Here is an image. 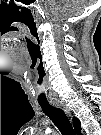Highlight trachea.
Returning <instances> with one entry per match:
<instances>
[{"instance_id": "1", "label": "trachea", "mask_w": 101, "mask_h": 135, "mask_svg": "<svg viewBox=\"0 0 101 135\" xmlns=\"http://www.w3.org/2000/svg\"><path fill=\"white\" fill-rule=\"evenodd\" d=\"M43 112L52 120V122L56 125V127L60 130L62 135H74V129L65 114V112L61 108H56L51 104L47 103H39Z\"/></svg>"}]
</instances>
